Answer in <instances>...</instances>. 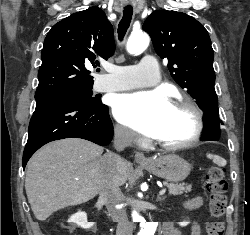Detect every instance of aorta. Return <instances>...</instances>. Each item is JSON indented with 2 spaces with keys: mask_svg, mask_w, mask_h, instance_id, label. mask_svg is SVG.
<instances>
[{
  "mask_svg": "<svg viewBox=\"0 0 250 235\" xmlns=\"http://www.w3.org/2000/svg\"><path fill=\"white\" fill-rule=\"evenodd\" d=\"M149 36L143 33L132 34L127 42V51L131 54L144 51L149 45ZM134 222L142 223L138 235H154L157 229V222H145L144 218L138 212H132Z\"/></svg>",
  "mask_w": 250,
  "mask_h": 235,
  "instance_id": "762f6f07",
  "label": "aorta"
}]
</instances>
